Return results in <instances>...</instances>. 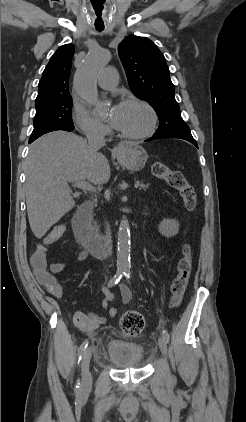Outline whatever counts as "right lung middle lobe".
I'll return each instance as SVG.
<instances>
[{
	"label": "right lung middle lobe",
	"instance_id": "dd1d6c3e",
	"mask_svg": "<svg viewBox=\"0 0 246 422\" xmlns=\"http://www.w3.org/2000/svg\"><path fill=\"white\" fill-rule=\"evenodd\" d=\"M72 98L63 97L52 103L37 108L34 117V129L29 141L56 130L73 131L72 121Z\"/></svg>",
	"mask_w": 246,
	"mask_h": 422
}]
</instances>
